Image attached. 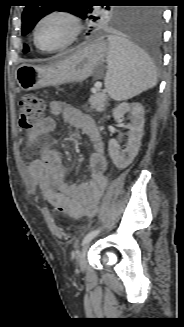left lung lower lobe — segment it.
<instances>
[{
	"mask_svg": "<svg viewBox=\"0 0 184 327\" xmlns=\"http://www.w3.org/2000/svg\"><path fill=\"white\" fill-rule=\"evenodd\" d=\"M133 41L144 52L156 56L161 42L162 16L158 9H142L141 16L133 26Z\"/></svg>",
	"mask_w": 184,
	"mask_h": 327,
	"instance_id": "left-lung-lower-lobe-1",
	"label": "left lung lower lobe"
}]
</instances>
